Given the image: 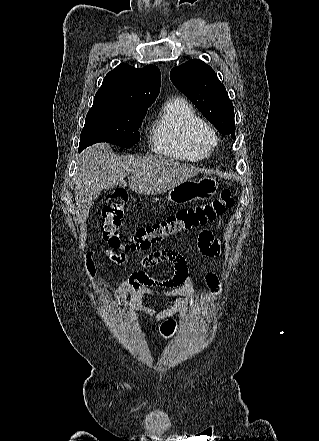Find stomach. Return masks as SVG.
I'll return each instance as SVG.
<instances>
[{"label":"stomach","mask_w":319,"mask_h":441,"mask_svg":"<svg viewBox=\"0 0 319 441\" xmlns=\"http://www.w3.org/2000/svg\"><path fill=\"white\" fill-rule=\"evenodd\" d=\"M219 183L214 177L203 176L199 180H185L168 192V201L183 206L187 203L206 200L218 190Z\"/></svg>","instance_id":"0dacf381"}]
</instances>
